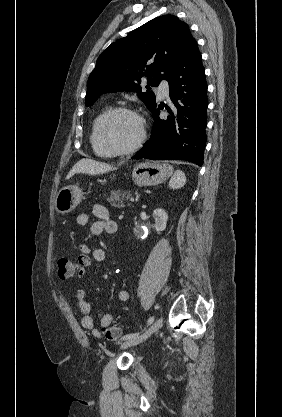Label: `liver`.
I'll return each mask as SVG.
<instances>
[{
  "label": "liver",
  "mask_w": 282,
  "mask_h": 417,
  "mask_svg": "<svg viewBox=\"0 0 282 417\" xmlns=\"http://www.w3.org/2000/svg\"><path fill=\"white\" fill-rule=\"evenodd\" d=\"M110 170H117L116 166H111L107 162H98V160H92V158H81L78 160L71 170H69L66 178H71L76 172H84V174H104V172H110Z\"/></svg>",
  "instance_id": "liver-1"
}]
</instances>
